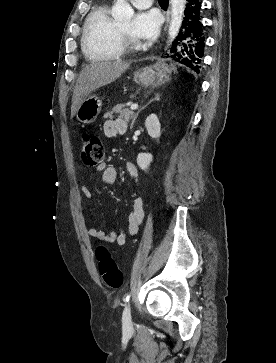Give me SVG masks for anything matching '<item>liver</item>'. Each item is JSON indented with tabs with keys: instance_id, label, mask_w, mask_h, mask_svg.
<instances>
[{
	"instance_id": "liver-1",
	"label": "liver",
	"mask_w": 276,
	"mask_h": 363,
	"mask_svg": "<svg viewBox=\"0 0 276 363\" xmlns=\"http://www.w3.org/2000/svg\"><path fill=\"white\" fill-rule=\"evenodd\" d=\"M129 66L130 62L119 60L93 62L86 65L82 69L74 88L71 117L76 114L79 105L86 97L93 91L114 82Z\"/></svg>"
}]
</instances>
